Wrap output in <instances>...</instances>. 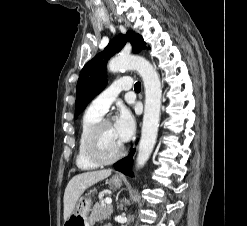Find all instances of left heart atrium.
I'll return each mask as SVG.
<instances>
[{"label":"left heart atrium","instance_id":"39dd6f15","mask_svg":"<svg viewBox=\"0 0 247 226\" xmlns=\"http://www.w3.org/2000/svg\"><path fill=\"white\" fill-rule=\"evenodd\" d=\"M114 131L122 143L130 140L135 130V121L131 112L122 108L116 118L114 125Z\"/></svg>","mask_w":247,"mask_h":226}]
</instances>
